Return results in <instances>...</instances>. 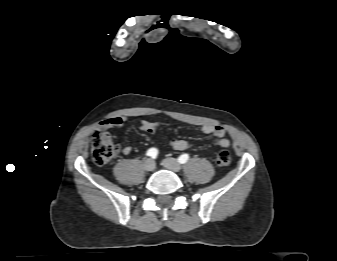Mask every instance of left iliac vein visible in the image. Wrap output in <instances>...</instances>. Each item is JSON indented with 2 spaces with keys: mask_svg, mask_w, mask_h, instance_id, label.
Returning a JSON list of instances; mask_svg holds the SVG:
<instances>
[{
  "mask_svg": "<svg viewBox=\"0 0 337 261\" xmlns=\"http://www.w3.org/2000/svg\"><path fill=\"white\" fill-rule=\"evenodd\" d=\"M163 166L168 170L173 172H179L181 170V165L174 158H166L163 160Z\"/></svg>",
  "mask_w": 337,
  "mask_h": 261,
  "instance_id": "4c4485c4",
  "label": "left iliac vein"
}]
</instances>
